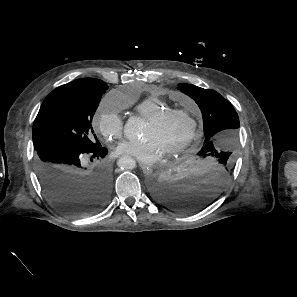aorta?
I'll return each instance as SVG.
<instances>
[{
    "label": "aorta",
    "mask_w": 297,
    "mask_h": 297,
    "mask_svg": "<svg viewBox=\"0 0 297 297\" xmlns=\"http://www.w3.org/2000/svg\"><path fill=\"white\" fill-rule=\"evenodd\" d=\"M143 124L138 117H130L124 125V135L130 141L138 140L142 135ZM118 166L122 169H134L135 160L130 156H123L118 160Z\"/></svg>",
    "instance_id": "aorta-1"
}]
</instances>
